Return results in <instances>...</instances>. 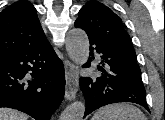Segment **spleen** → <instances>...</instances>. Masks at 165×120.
<instances>
[{"label": "spleen", "mask_w": 165, "mask_h": 120, "mask_svg": "<svg viewBox=\"0 0 165 120\" xmlns=\"http://www.w3.org/2000/svg\"><path fill=\"white\" fill-rule=\"evenodd\" d=\"M91 120H147L144 113L128 103H117L100 108Z\"/></svg>", "instance_id": "spleen-1"}]
</instances>
